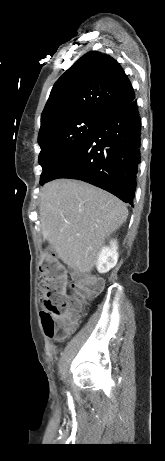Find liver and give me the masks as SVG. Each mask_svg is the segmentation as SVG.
<instances>
[{
	"label": "liver",
	"instance_id": "obj_1",
	"mask_svg": "<svg viewBox=\"0 0 165 461\" xmlns=\"http://www.w3.org/2000/svg\"><path fill=\"white\" fill-rule=\"evenodd\" d=\"M126 205L88 183L59 179L41 190L43 239L69 267L89 273L105 238L126 221Z\"/></svg>",
	"mask_w": 165,
	"mask_h": 461
}]
</instances>
